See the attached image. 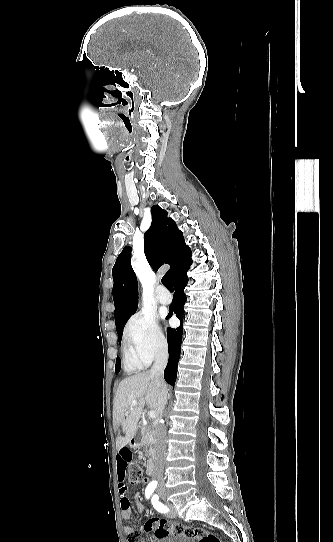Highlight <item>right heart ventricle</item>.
Returning a JSON list of instances; mask_svg holds the SVG:
<instances>
[{
    "mask_svg": "<svg viewBox=\"0 0 333 542\" xmlns=\"http://www.w3.org/2000/svg\"><path fill=\"white\" fill-rule=\"evenodd\" d=\"M123 361L129 371H141L149 366L151 358L140 348L125 344L123 347Z\"/></svg>",
    "mask_w": 333,
    "mask_h": 542,
    "instance_id": "obj_1",
    "label": "right heart ventricle"
}]
</instances>
